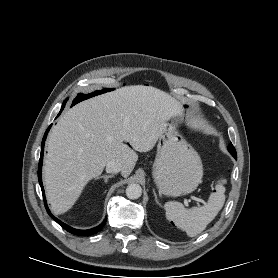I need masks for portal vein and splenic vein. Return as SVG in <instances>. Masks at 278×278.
I'll use <instances>...</instances> for the list:
<instances>
[{"label": "portal vein and splenic vein", "instance_id": "portal-vein-and-splenic-vein-1", "mask_svg": "<svg viewBox=\"0 0 278 278\" xmlns=\"http://www.w3.org/2000/svg\"><path fill=\"white\" fill-rule=\"evenodd\" d=\"M191 199L195 200L197 203H204V201L200 198H197L195 196H191ZM185 205L188 206V201H185Z\"/></svg>", "mask_w": 278, "mask_h": 278}]
</instances>
